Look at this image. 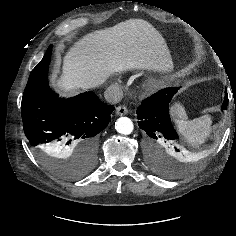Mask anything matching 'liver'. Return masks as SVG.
I'll list each match as a JSON object with an SVG mask.
<instances>
[{"mask_svg":"<svg viewBox=\"0 0 236 236\" xmlns=\"http://www.w3.org/2000/svg\"><path fill=\"white\" fill-rule=\"evenodd\" d=\"M146 68L171 71L170 52L150 23L130 19L75 42L63 58L62 74L55 84L65 93H76L103 84L114 73Z\"/></svg>","mask_w":236,"mask_h":236,"instance_id":"1","label":"liver"}]
</instances>
